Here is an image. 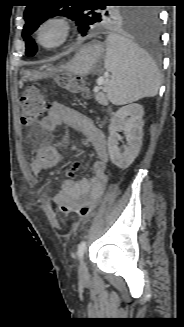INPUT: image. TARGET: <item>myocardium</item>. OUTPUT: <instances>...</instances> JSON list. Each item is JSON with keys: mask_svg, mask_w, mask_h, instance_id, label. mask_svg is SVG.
<instances>
[{"mask_svg": "<svg viewBox=\"0 0 184 327\" xmlns=\"http://www.w3.org/2000/svg\"><path fill=\"white\" fill-rule=\"evenodd\" d=\"M51 25H56L60 28V37L58 39V41H56L53 44H46L43 41V31L46 27L51 26ZM71 23L69 21V19H67L66 17L63 16H50L46 19H44L37 27L36 30V40L37 43L39 44V46H41L44 49L47 50H52V49H56L61 47L62 45H64L70 35H71Z\"/></svg>", "mask_w": 184, "mask_h": 327, "instance_id": "obj_1", "label": "myocardium"}]
</instances>
